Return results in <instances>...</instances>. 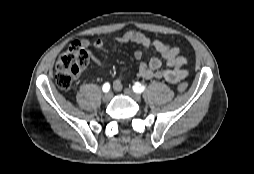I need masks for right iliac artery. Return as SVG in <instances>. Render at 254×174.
I'll return each instance as SVG.
<instances>
[{"mask_svg":"<svg viewBox=\"0 0 254 174\" xmlns=\"http://www.w3.org/2000/svg\"><path fill=\"white\" fill-rule=\"evenodd\" d=\"M103 91L104 92H108L109 90H110V84L109 83H105L104 85H103Z\"/></svg>","mask_w":254,"mask_h":174,"instance_id":"82829eb1","label":"right iliac artery"}]
</instances>
